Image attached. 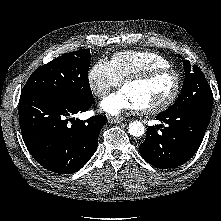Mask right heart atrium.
Returning a JSON list of instances; mask_svg holds the SVG:
<instances>
[{
	"label": "right heart atrium",
	"mask_w": 221,
	"mask_h": 221,
	"mask_svg": "<svg viewBox=\"0 0 221 221\" xmlns=\"http://www.w3.org/2000/svg\"><path fill=\"white\" fill-rule=\"evenodd\" d=\"M87 80L92 93L105 97L113 88L120 84L108 61L99 60L88 71Z\"/></svg>",
	"instance_id": "right-heart-atrium-1"
}]
</instances>
